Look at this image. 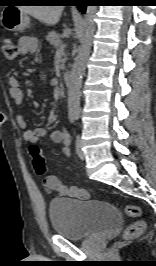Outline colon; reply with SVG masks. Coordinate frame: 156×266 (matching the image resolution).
<instances>
[{
  "instance_id": "1",
  "label": "colon",
  "mask_w": 156,
  "mask_h": 266,
  "mask_svg": "<svg viewBox=\"0 0 156 266\" xmlns=\"http://www.w3.org/2000/svg\"><path fill=\"white\" fill-rule=\"evenodd\" d=\"M2 50L5 59L9 62L14 61L19 53L18 46L10 39L4 41ZM29 152L36 173L39 175L44 174L46 172V162L39 147L36 145H30ZM125 211L130 217H139L141 215V209L136 205H127ZM145 228L146 224L144 221H135L124 230L123 239H135L144 232Z\"/></svg>"
}]
</instances>
